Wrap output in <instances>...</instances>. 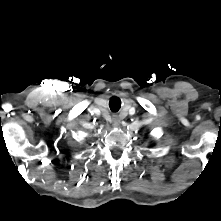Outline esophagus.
I'll return each instance as SVG.
<instances>
[{
	"mask_svg": "<svg viewBox=\"0 0 221 221\" xmlns=\"http://www.w3.org/2000/svg\"><path fill=\"white\" fill-rule=\"evenodd\" d=\"M119 123H120V120L118 117L113 118V126L114 127H117L119 125Z\"/></svg>",
	"mask_w": 221,
	"mask_h": 221,
	"instance_id": "esophagus-1",
	"label": "esophagus"
}]
</instances>
